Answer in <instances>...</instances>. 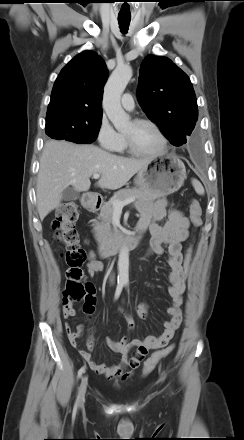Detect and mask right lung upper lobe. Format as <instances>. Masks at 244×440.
I'll return each instance as SVG.
<instances>
[{"instance_id": "obj_1", "label": "right lung upper lobe", "mask_w": 244, "mask_h": 440, "mask_svg": "<svg viewBox=\"0 0 244 440\" xmlns=\"http://www.w3.org/2000/svg\"><path fill=\"white\" fill-rule=\"evenodd\" d=\"M108 71L101 56L84 51L74 57L57 77L46 121L93 123L102 120L103 87Z\"/></svg>"}]
</instances>
